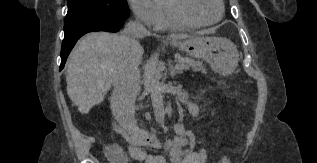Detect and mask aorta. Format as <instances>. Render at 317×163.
I'll return each instance as SVG.
<instances>
[{
	"label": "aorta",
	"instance_id": "obj_1",
	"mask_svg": "<svg viewBox=\"0 0 317 163\" xmlns=\"http://www.w3.org/2000/svg\"><path fill=\"white\" fill-rule=\"evenodd\" d=\"M146 83L150 91L151 102L156 122L163 124L165 120V111L163 97L159 87L160 72L155 62L150 61L146 67Z\"/></svg>",
	"mask_w": 317,
	"mask_h": 163
}]
</instances>
